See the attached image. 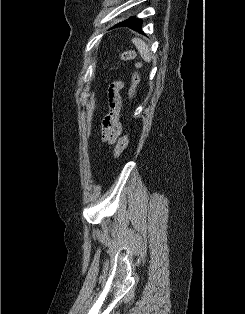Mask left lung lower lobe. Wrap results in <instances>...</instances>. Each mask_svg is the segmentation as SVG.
<instances>
[{"instance_id":"1","label":"left lung lower lobe","mask_w":245,"mask_h":314,"mask_svg":"<svg viewBox=\"0 0 245 314\" xmlns=\"http://www.w3.org/2000/svg\"><path fill=\"white\" fill-rule=\"evenodd\" d=\"M141 23H142V21H141L140 19H138V18H133V19L128 23V25H126V26L132 28L133 30L142 32Z\"/></svg>"}]
</instances>
